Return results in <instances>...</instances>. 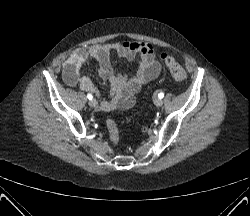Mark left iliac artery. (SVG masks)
<instances>
[{
	"label": "left iliac artery",
	"mask_w": 250,
	"mask_h": 216,
	"mask_svg": "<svg viewBox=\"0 0 250 216\" xmlns=\"http://www.w3.org/2000/svg\"><path fill=\"white\" fill-rule=\"evenodd\" d=\"M158 97H159L160 99H162V98L164 97V93H162V92L159 93V94H158Z\"/></svg>",
	"instance_id": "44dca946"
}]
</instances>
